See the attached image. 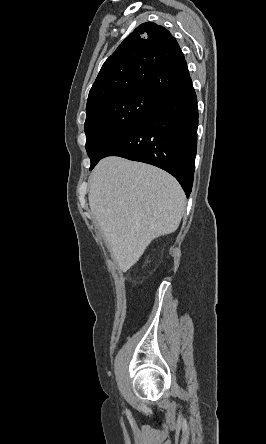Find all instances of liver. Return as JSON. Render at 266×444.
I'll return each instance as SVG.
<instances>
[{
	"label": "liver",
	"instance_id": "1",
	"mask_svg": "<svg viewBox=\"0 0 266 444\" xmlns=\"http://www.w3.org/2000/svg\"><path fill=\"white\" fill-rule=\"evenodd\" d=\"M89 205L121 271L129 270L157 237L174 232L185 211L177 180L154 166L102 159L90 175Z\"/></svg>",
	"mask_w": 266,
	"mask_h": 444
}]
</instances>
